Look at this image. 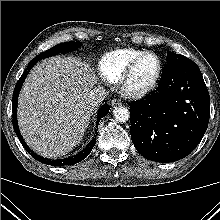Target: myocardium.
<instances>
[{"label":"myocardium","mask_w":220,"mask_h":220,"mask_svg":"<svg viewBox=\"0 0 220 220\" xmlns=\"http://www.w3.org/2000/svg\"><path fill=\"white\" fill-rule=\"evenodd\" d=\"M146 56H153L156 58L157 60L156 73L151 79V81L147 83L145 86L140 87V88L131 87L129 84L131 76L136 66L138 65V63ZM161 72H162V62H161L160 57L155 52L144 51L138 56H136L129 63V65L127 66L123 74L121 75L120 79L118 80L119 91L124 97L131 98V99H138V98L144 97L145 95H147L149 92H151L154 89V87L156 86L160 78Z\"/></svg>","instance_id":"obj_1"}]
</instances>
